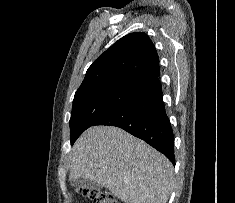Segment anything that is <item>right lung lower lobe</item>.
<instances>
[{
    "label": "right lung lower lobe",
    "instance_id": "1",
    "mask_svg": "<svg viewBox=\"0 0 235 203\" xmlns=\"http://www.w3.org/2000/svg\"><path fill=\"white\" fill-rule=\"evenodd\" d=\"M94 125L117 126L163 153L173 165L174 138L160 82L100 118Z\"/></svg>",
    "mask_w": 235,
    "mask_h": 203
}]
</instances>
